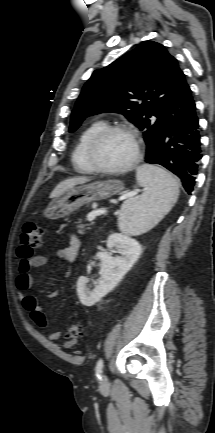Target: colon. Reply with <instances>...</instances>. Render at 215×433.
Returning a JSON list of instances; mask_svg holds the SVG:
<instances>
[{
  "mask_svg": "<svg viewBox=\"0 0 215 433\" xmlns=\"http://www.w3.org/2000/svg\"><path fill=\"white\" fill-rule=\"evenodd\" d=\"M42 229L34 222L26 223L20 236L18 255L27 258L33 255V251L42 245ZM83 334V326L80 323H74L67 328V337L70 340L77 339Z\"/></svg>",
  "mask_w": 215,
  "mask_h": 433,
  "instance_id": "5ec220e1",
  "label": "colon"
}]
</instances>
